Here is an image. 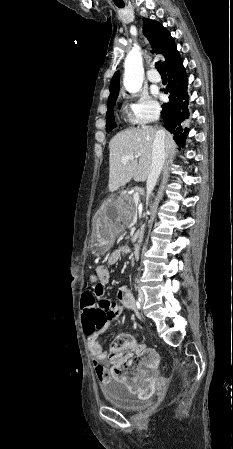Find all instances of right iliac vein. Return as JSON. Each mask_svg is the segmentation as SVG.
Instances as JSON below:
<instances>
[{"instance_id": "right-iliac-vein-1", "label": "right iliac vein", "mask_w": 233, "mask_h": 449, "mask_svg": "<svg viewBox=\"0 0 233 449\" xmlns=\"http://www.w3.org/2000/svg\"><path fill=\"white\" fill-rule=\"evenodd\" d=\"M141 302H142V303L144 302V299H143V298L141 299Z\"/></svg>"}]
</instances>
